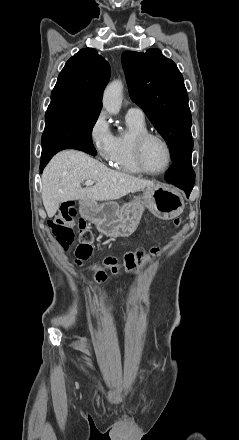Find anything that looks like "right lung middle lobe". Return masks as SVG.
Segmentation results:
<instances>
[{
	"mask_svg": "<svg viewBox=\"0 0 239 440\" xmlns=\"http://www.w3.org/2000/svg\"><path fill=\"white\" fill-rule=\"evenodd\" d=\"M99 113L63 105L48 106L42 135V152L71 140H83L93 144L91 134Z\"/></svg>",
	"mask_w": 239,
	"mask_h": 440,
	"instance_id": "obj_1",
	"label": "right lung middle lobe"
}]
</instances>
